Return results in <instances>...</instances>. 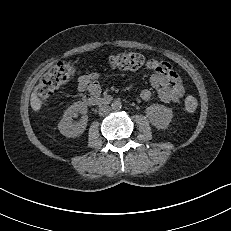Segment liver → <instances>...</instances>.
Returning a JSON list of instances; mask_svg holds the SVG:
<instances>
[{
	"instance_id": "liver-1",
	"label": "liver",
	"mask_w": 231,
	"mask_h": 231,
	"mask_svg": "<svg viewBox=\"0 0 231 231\" xmlns=\"http://www.w3.org/2000/svg\"><path fill=\"white\" fill-rule=\"evenodd\" d=\"M30 104L32 109L35 112H38L41 109V106L43 104L42 100L37 96L36 92H33L30 98Z\"/></svg>"
}]
</instances>
